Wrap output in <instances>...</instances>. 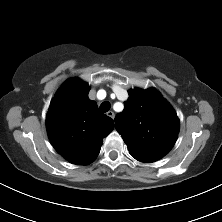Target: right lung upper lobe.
Masks as SVG:
<instances>
[{
    "instance_id": "right-lung-upper-lobe-1",
    "label": "right lung upper lobe",
    "mask_w": 222,
    "mask_h": 222,
    "mask_svg": "<svg viewBox=\"0 0 222 222\" xmlns=\"http://www.w3.org/2000/svg\"><path fill=\"white\" fill-rule=\"evenodd\" d=\"M90 87L78 78L68 79L53 98L46 119L49 139L70 163L87 165L98 156L102 139L114 121L100 113L88 98Z\"/></svg>"
}]
</instances>
